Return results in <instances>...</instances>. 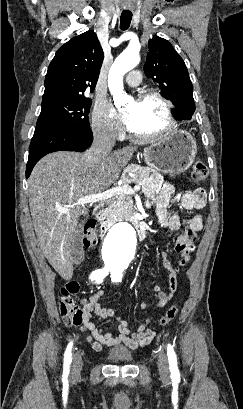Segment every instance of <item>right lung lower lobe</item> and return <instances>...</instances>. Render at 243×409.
Here are the masks:
<instances>
[{
	"mask_svg": "<svg viewBox=\"0 0 243 409\" xmlns=\"http://www.w3.org/2000/svg\"><path fill=\"white\" fill-rule=\"evenodd\" d=\"M92 140L91 129L78 132L36 127L30 144L26 177H29L35 164L46 154L61 150L82 152L91 145Z\"/></svg>",
	"mask_w": 243,
	"mask_h": 409,
	"instance_id": "right-lung-lower-lobe-1",
	"label": "right lung lower lobe"
}]
</instances>
